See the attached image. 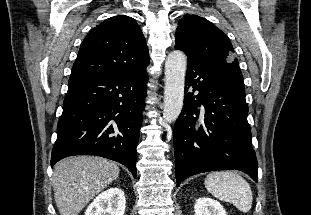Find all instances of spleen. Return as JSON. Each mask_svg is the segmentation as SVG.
Wrapping results in <instances>:
<instances>
[{
  "label": "spleen",
  "instance_id": "obj_1",
  "mask_svg": "<svg viewBox=\"0 0 311 215\" xmlns=\"http://www.w3.org/2000/svg\"><path fill=\"white\" fill-rule=\"evenodd\" d=\"M206 189L219 200L232 203L241 212H249L253 194L249 183L233 171H215L205 178Z\"/></svg>",
  "mask_w": 311,
  "mask_h": 215
}]
</instances>
